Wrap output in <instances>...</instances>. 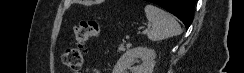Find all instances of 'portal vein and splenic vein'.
Masks as SVG:
<instances>
[{"label": "portal vein and splenic vein", "mask_w": 244, "mask_h": 73, "mask_svg": "<svg viewBox=\"0 0 244 73\" xmlns=\"http://www.w3.org/2000/svg\"><path fill=\"white\" fill-rule=\"evenodd\" d=\"M148 30H149V27H148L147 29L143 30L142 32H141V31H139V32H138V34H145V33H147V32H148Z\"/></svg>", "instance_id": "18ae733b"}]
</instances>
